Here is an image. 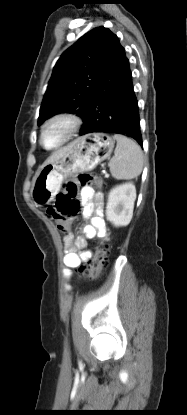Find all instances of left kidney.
I'll list each match as a JSON object with an SVG mask.
<instances>
[{
  "label": "left kidney",
  "mask_w": 187,
  "mask_h": 415,
  "mask_svg": "<svg viewBox=\"0 0 187 415\" xmlns=\"http://www.w3.org/2000/svg\"><path fill=\"white\" fill-rule=\"evenodd\" d=\"M136 188L131 182L115 186L110 190L106 217L114 226H127L133 216Z\"/></svg>",
  "instance_id": "5707ae66"
}]
</instances>
